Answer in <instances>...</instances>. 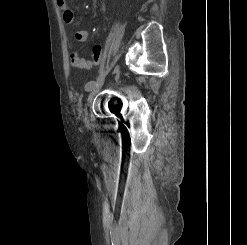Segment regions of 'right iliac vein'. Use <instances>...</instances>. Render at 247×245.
<instances>
[{"mask_svg": "<svg viewBox=\"0 0 247 245\" xmlns=\"http://www.w3.org/2000/svg\"><path fill=\"white\" fill-rule=\"evenodd\" d=\"M102 85H103V82H101V84L98 85V87H92V89L90 90L91 92H90V94L88 96V103H90L92 101V99L98 93V91L100 90ZM84 121H85V123H88V119H87L86 116L84 117Z\"/></svg>", "mask_w": 247, "mask_h": 245, "instance_id": "obj_1", "label": "right iliac vein"}]
</instances>
